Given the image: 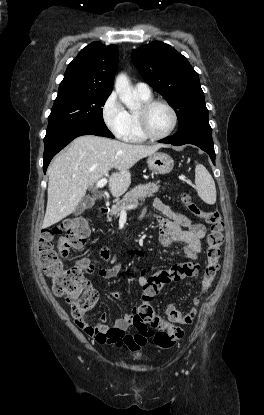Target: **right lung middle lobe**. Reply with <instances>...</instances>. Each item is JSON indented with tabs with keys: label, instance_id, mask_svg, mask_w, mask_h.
<instances>
[{
	"label": "right lung middle lobe",
	"instance_id": "obj_1",
	"mask_svg": "<svg viewBox=\"0 0 264 415\" xmlns=\"http://www.w3.org/2000/svg\"><path fill=\"white\" fill-rule=\"evenodd\" d=\"M110 94L58 95L48 117L44 141L66 131L82 127H106L103 109Z\"/></svg>",
	"mask_w": 264,
	"mask_h": 415
}]
</instances>
